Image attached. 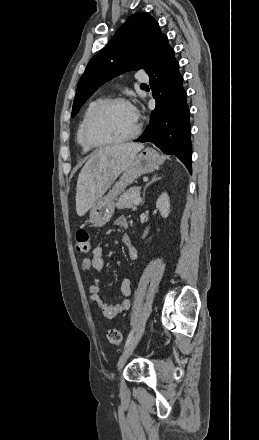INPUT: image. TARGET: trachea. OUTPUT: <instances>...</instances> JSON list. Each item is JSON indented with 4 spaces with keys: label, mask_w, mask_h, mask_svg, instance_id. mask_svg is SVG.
<instances>
[{
    "label": "trachea",
    "mask_w": 259,
    "mask_h": 440,
    "mask_svg": "<svg viewBox=\"0 0 259 440\" xmlns=\"http://www.w3.org/2000/svg\"><path fill=\"white\" fill-rule=\"evenodd\" d=\"M141 86H145V84H141Z\"/></svg>",
    "instance_id": "1"
}]
</instances>
